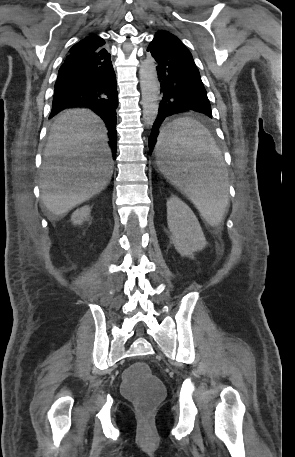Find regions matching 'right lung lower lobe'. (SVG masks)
Listing matches in <instances>:
<instances>
[{
    "instance_id": "right-lung-lower-lobe-1",
    "label": "right lung lower lobe",
    "mask_w": 295,
    "mask_h": 457,
    "mask_svg": "<svg viewBox=\"0 0 295 457\" xmlns=\"http://www.w3.org/2000/svg\"><path fill=\"white\" fill-rule=\"evenodd\" d=\"M110 57L105 48L88 54L68 55L58 72L50 117L71 107L92 109L105 122L115 155L118 96Z\"/></svg>"
}]
</instances>
